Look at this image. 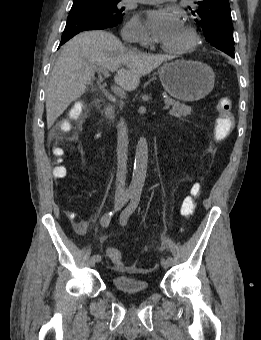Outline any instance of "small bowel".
Wrapping results in <instances>:
<instances>
[{"instance_id":"small-bowel-1","label":"small bowel","mask_w":261,"mask_h":340,"mask_svg":"<svg viewBox=\"0 0 261 340\" xmlns=\"http://www.w3.org/2000/svg\"><path fill=\"white\" fill-rule=\"evenodd\" d=\"M89 221L87 219H77L74 222L75 230L78 234H84L88 228ZM117 269H122L121 267H117Z\"/></svg>"}]
</instances>
